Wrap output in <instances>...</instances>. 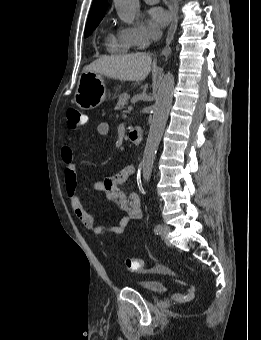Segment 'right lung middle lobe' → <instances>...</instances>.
Returning <instances> with one entry per match:
<instances>
[{
    "instance_id": "obj_1",
    "label": "right lung middle lobe",
    "mask_w": 261,
    "mask_h": 340,
    "mask_svg": "<svg viewBox=\"0 0 261 340\" xmlns=\"http://www.w3.org/2000/svg\"><path fill=\"white\" fill-rule=\"evenodd\" d=\"M101 20L102 19L95 20L93 22L86 24L85 37H88L93 32V30L98 26Z\"/></svg>"
}]
</instances>
